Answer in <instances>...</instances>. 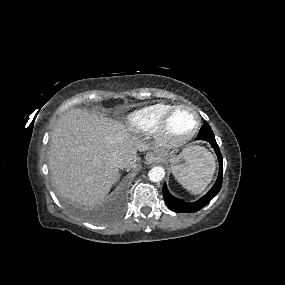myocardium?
Segmentation results:
<instances>
[{"mask_svg":"<svg viewBox=\"0 0 285 285\" xmlns=\"http://www.w3.org/2000/svg\"><path fill=\"white\" fill-rule=\"evenodd\" d=\"M179 111H188L195 116V125L190 132L183 136H175L169 130V125L172 117ZM201 128V117L199 113L192 107L187 105H175L173 106L161 120L156 132V142L159 146L164 148H176L180 147L190 140H192Z\"/></svg>","mask_w":285,"mask_h":285,"instance_id":"myocardium-1","label":"myocardium"}]
</instances>
